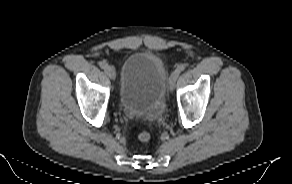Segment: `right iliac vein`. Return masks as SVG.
I'll return each instance as SVG.
<instances>
[{
	"mask_svg": "<svg viewBox=\"0 0 292 184\" xmlns=\"http://www.w3.org/2000/svg\"><path fill=\"white\" fill-rule=\"evenodd\" d=\"M105 72L106 74L112 79L114 80L116 78V71L113 67L111 66H108L106 69H105Z\"/></svg>",
	"mask_w": 292,
	"mask_h": 184,
	"instance_id": "63e3f726",
	"label": "right iliac vein"
}]
</instances>
